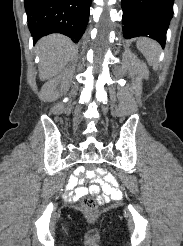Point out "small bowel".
<instances>
[{
    "mask_svg": "<svg viewBox=\"0 0 183 246\" xmlns=\"http://www.w3.org/2000/svg\"><path fill=\"white\" fill-rule=\"evenodd\" d=\"M76 174L69 179L68 184H63V189H75L73 193H69V198L79 199L88 192L97 194L100 191L103 193V198L117 199L121 196V191L117 187V175H108V170H103L102 167H95L94 170L86 173L87 177L91 178L93 183L89 188L85 187L80 179H83L84 168L76 169ZM99 175H104L103 179Z\"/></svg>",
    "mask_w": 183,
    "mask_h": 246,
    "instance_id": "c3829d8e",
    "label": "small bowel"
}]
</instances>
